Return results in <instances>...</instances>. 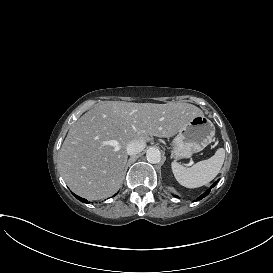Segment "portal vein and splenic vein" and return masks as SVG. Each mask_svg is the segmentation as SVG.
Returning a JSON list of instances; mask_svg holds the SVG:
<instances>
[{
    "mask_svg": "<svg viewBox=\"0 0 273 273\" xmlns=\"http://www.w3.org/2000/svg\"><path fill=\"white\" fill-rule=\"evenodd\" d=\"M193 164V162L191 161L189 164H188V166H191Z\"/></svg>",
    "mask_w": 273,
    "mask_h": 273,
    "instance_id": "18ae733b",
    "label": "portal vein and splenic vein"
}]
</instances>
